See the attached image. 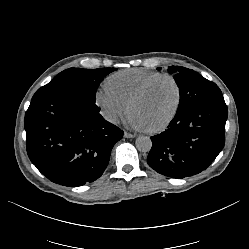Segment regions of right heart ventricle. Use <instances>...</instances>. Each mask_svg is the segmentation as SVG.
I'll return each instance as SVG.
<instances>
[{"mask_svg": "<svg viewBox=\"0 0 249 249\" xmlns=\"http://www.w3.org/2000/svg\"><path fill=\"white\" fill-rule=\"evenodd\" d=\"M162 74L156 70L131 68L116 71L104 81L105 87L114 95L127 102L148 80Z\"/></svg>", "mask_w": 249, "mask_h": 249, "instance_id": "right-heart-ventricle-1", "label": "right heart ventricle"}]
</instances>
